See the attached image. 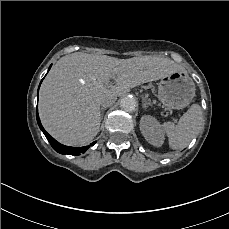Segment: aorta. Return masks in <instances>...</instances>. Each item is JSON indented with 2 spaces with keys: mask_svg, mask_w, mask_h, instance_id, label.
I'll list each match as a JSON object with an SVG mask.
<instances>
[{
  "mask_svg": "<svg viewBox=\"0 0 229 229\" xmlns=\"http://www.w3.org/2000/svg\"><path fill=\"white\" fill-rule=\"evenodd\" d=\"M120 106L127 112H133L138 107V103L134 97L125 96L121 99Z\"/></svg>",
  "mask_w": 229,
  "mask_h": 229,
  "instance_id": "aorta-1",
  "label": "aorta"
}]
</instances>
